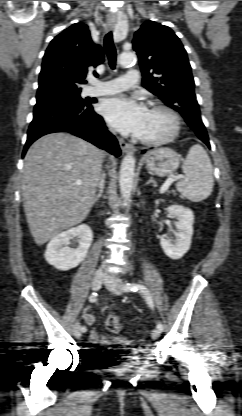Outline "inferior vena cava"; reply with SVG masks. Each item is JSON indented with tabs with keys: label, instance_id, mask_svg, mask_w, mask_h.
I'll return each mask as SVG.
<instances>
[{
	"label": "inferior vena cava",
	"instance_id": "obj_1",
	"mask_svg": "<svg viewBox=\"0 0 242 416\" xmlns=\"http://www.w3.org/2000/svg\"><path fill=\"white\" fill-rule=\"evenodd\" d=\"M103 184H104V175H102L100 179V187H103Z\"/></svg>",
	"mask_w": 242,
	"mask_h": 416
}]
</instances>
